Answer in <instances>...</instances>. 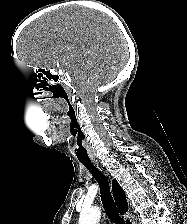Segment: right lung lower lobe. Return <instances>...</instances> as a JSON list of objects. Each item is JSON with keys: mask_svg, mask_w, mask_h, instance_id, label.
Instances as JSON below:
<instances>
[{"mask_svg": "<svg viewBox=\"0 0 187 224\" xmlns=\"http://www.w3.org/2000/svg\"><path fill=\"white\" fill-rule=\"evenodd\" d=\"M126 224H130V222L129 221H127V223Z\"/></svg>", "mask_w": 187, "mask_h": 224, "instance_id": "obj_1", "label": "right lung lower lobe"}]
</instances>
